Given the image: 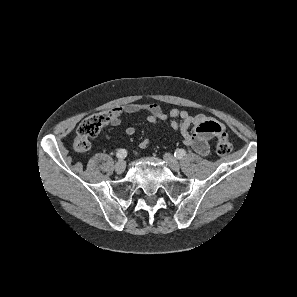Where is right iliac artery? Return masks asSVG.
I'll list each match as a JSON object with an SVG mask.
<instances>
[{"instance_id":"82829eb1","label":"right iliac artery","mask_w":297,"mask_h":297,"mask_svg":"<svg viewBox=\"0 0 297 297\" xmlns=\"http://www.w3.org/2000/svg\"><path fill=\"white\" fill-rule=\"evenodd\" d=\"M116 156L119 159H124L127 156V151L125 149H119Z\"/></svg>"}]
</instances>
